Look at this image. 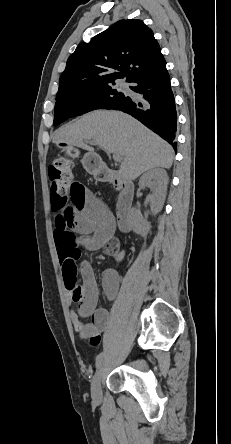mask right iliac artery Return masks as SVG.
Wrapping results in <instances>:
<instances>
[{
    "mask_svg": "<svg viewBox=\"0 0 231 444\" xmlns=\"http://www.w3.org/2000/svg\"><path fill=\"white\" fill-rule=\"evenodd\" d=\"M102 358H103V352H101L96 358V367H98V365L102 361Z\"/></svg>",
    "mask_w": 231,
    "mask_h": 444,
    "instance_id": "right-iliac-artery-1",
    "label": "right iliac artery"
}]
</instances>
